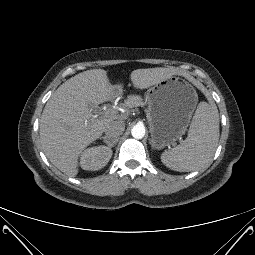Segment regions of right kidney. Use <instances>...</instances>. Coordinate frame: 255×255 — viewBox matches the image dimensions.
Masks as SVG:
<instances>
[{"label":"right kidney","mask_w":255,"mask_h":255,"mask_svg":"<svg viewBox=\"0 0 255 255\" xmlns=\"http://www.w3.org/2000/svg\"><path fill=\"white\" fill-rule=\"evenodd\" d=\"M112 151L109 147L99 146L86 149L80 157V165L84 170H99L107 165Z\"/></svg>","instance_id":"ca27d5eb"}]
</instances>
